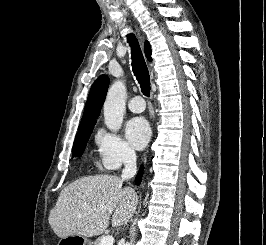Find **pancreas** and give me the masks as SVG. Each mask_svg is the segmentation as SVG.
Returning <instances> with one entry per match:
<instances>
[{"mask_svg":"<svg viewBox=\"0 0 266 245\" xmlns=\"http://www.w3.org/2000/svg\"><path fill=\"white\" fill-rule=\"evenodd\" d=\"M100 241H101V237H99V239H96L94 245H99Z\"/></svg>","mask_w":266,"mask_h":245,"instance_id":"obj_1","label":"pancreas"}]
</instances>
